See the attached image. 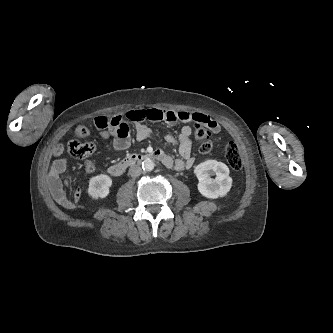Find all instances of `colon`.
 Wrapping results in <instances>:
<instances>
[{
	"label": "colon",
	"instance_id": "colon-1",
	"mask_svg": "<svg viewBox=\"0 0 333 333\" xmlns=\"http://www.w3.org/2000/svg\"><path fill=\"white\" fill-rule=\"evenodd\" d=\"M160 117H156V120H160ZM94 124L99 129H112L120 134H126L129 130L127 116L121 115H106L98 116L94 120ZM88 130L84 126H78L76 128V134L78 136L87 134ZM194 135L197 140L200 141L199 151L201 154H208L212 150L211 135L207 128L203 126H197L194 130ZM75 158L82 159L90 156L96 151V144L93 142H81L79 140H70L66 145H59L56 153H61L64 149ZM225 159L234 171H239L242 167V158L237 145L234 142H229L225 148Z\"/></svg>",
	"mask_w": 333,
	"mask_h": 333
}]
</instances>
